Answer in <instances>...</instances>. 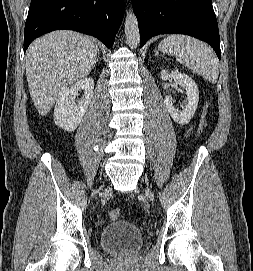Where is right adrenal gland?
<instances>
[{"label": "right adrenal gland", "mask_w": 253, "mask_h": 271, "mask_svg": "<svg viewBox=\"0 0 253 271\" xmlns=\"http://www.w3.org/2000/svg\"><path fill=\"white\" fill-rule=\"evenodd\" d=\"M96 62H99V55H98V57H97V59H96Z\"/></svg>", "instance_id": "obj_1"}]
</instances>
